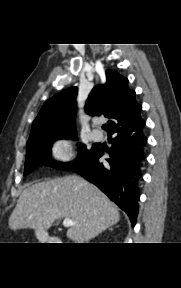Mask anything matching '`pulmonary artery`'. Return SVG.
Masks as SVG:
<instances>
[{
	"label": "pulmonary artery",
	"mask_w": 181,
	"mask_h": 288,
	"mask_svg": "<svg viewBox=\"0 0 181 288\" xmlns=\"http://www.w3.org/2000/svg\"><path fill=\"white\" fill-rule=\"evenodd\" d=\"M91 137L95 141H101L103 139V134L100 130L94 129L91 132Z\"/></svg>",
	"instance_id": "pulmonary-artery-1"
}]
</instances>
